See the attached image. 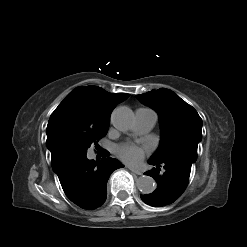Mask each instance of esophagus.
<instances>
[{
  "label": "esophagus",
  "instance_id": "34e87169",
  "mask_svg": "<svg viewBox=\"0 0 247 247\" xmlns=\"http://www.w3.org/2000/svg\"><path fill=\"white\" fill-rule=\"evenodd\" d=\"M128 169L137 175H142V173L139 170H136L133 167H128Z\"/></svg>",
  "mask_w": 247,
  "mask_h": 247
}]
</instances>
